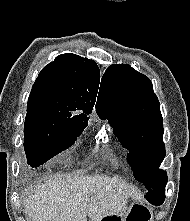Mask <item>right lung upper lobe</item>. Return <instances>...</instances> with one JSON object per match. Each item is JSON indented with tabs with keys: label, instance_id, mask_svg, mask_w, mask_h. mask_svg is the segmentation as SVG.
I'll return each mask as SVG.
<instances>
[{
	"label": "right lung upper lobe",
	"instance_id": "right-lung-upper-lobe-1",
	"mask_svg": "<svg viewBox=\"0 0 190 221\" xmlns=\"http://www.w3.org/2000/svg\"><path fill=\"white\" fill-rule=\"evenodd\" d=\"M100 83L97 64L62 54L39 73L29 96L27 114H56L84 119L92 112Z\"/></svg>",
	"mask_w": 190,
	"mask_h": 221
}]
</instances>
